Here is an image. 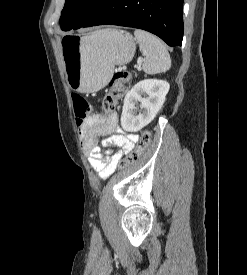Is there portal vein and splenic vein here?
<instances>
[{
  "mask_svg": "<svg viewBox=\"0 0 247 275\" xmlns=\"http://www.w3.org/2000/svg\"><path fill=\"white\" fill-rule=\"evenodd\" d=\"M143 59H138L137 65L135 66L138 70H141V63H142Z\"/></svg>",
  "mask_w": 247,
  "mask_h": 275,
  "instance_id": "1",
  "label": "portal vein and splenic vein"
}]
</instances>
